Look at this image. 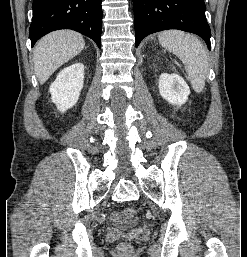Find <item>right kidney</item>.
<instances>
[{
    "instance_id": "1",
    "label": "right kidney",
    "mask_w": 247,
    "mask_h": 257,
    "mask_svg": "<svg viewBox=\"0 0 247 257\" xmlns=\"http://www.w3.org/2000/svg\"><path fill=\"white\" fill-rule=\"evenodd\" d=\"M84 84V65L74 63L62 69L50 85L52 102L61 112L73 107L80 96Z\"/></svg>"
}]
</instances>
